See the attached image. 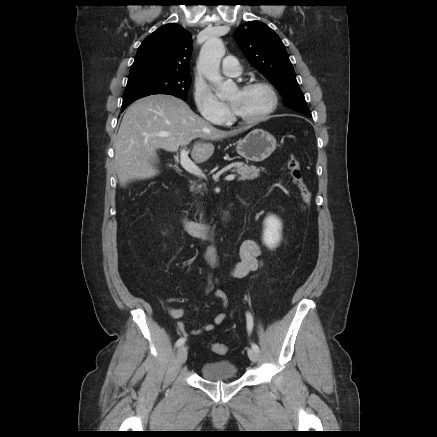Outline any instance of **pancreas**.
I'll return each mask as SVG.
<instances>
[{"mask_svg":"<svg viewBox=\"0 0 437 437\" xmlns=\"http://www.w3.org/2000/svg\"><path fill=\"white\" fill-rule=\"evenodd\" d=\"M233 172L239 174V180H253L260 175V168L249 166L244 163L235 164ZM202 185H198L197 189H201ZM192 190L193 187H192Z\"/></svg>","mask_w":437,"mask_h":437,"instance_id":"cf45deb5","label":"pancreas"}]
</instances>
